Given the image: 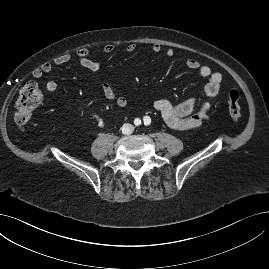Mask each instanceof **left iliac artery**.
<instances>
[{
  "instance_id": "left-iliac-artery-1",
  "label": "left iliac artery",
  "mask_w": 269,
  "mask_h": 269,
  "mask_svg": "<svg viewBox=\"0 0 269 269\" xmlns=\"http://www.w3.org/2000/svg\"><path fill=\"white\" fill-rule=\"evenodd\" d=\"M144 124L145 125H149L150 123H151V119H150V117H148V116H146V117H144Z\"/></svg>"
}]
</instances>
